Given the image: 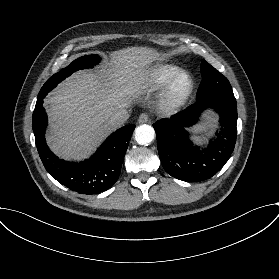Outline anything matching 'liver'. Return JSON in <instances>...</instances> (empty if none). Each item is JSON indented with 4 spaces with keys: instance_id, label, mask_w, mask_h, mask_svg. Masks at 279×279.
<instances>
[{
    "instance_id": "6515ba94",
    "label": "liver",
    "mask_w": 279,
    "mask_h": 279,
    "mask_svg": "<svg viewBox=\"0 0 279 279\" xmlns=\"http://www.w3.org/2000/svg\"><path fill=\"white\" fill-rule=\"evenodd\" d=\"M160 56L147 48H129L113 53L104 73L74 74L51 92L46 106L51 116L48 142L66 158L87 156L115 127L108 121L113 111L127 108L128 99L146 83L145 65Z\"/></svg>"
}]
</instances>
